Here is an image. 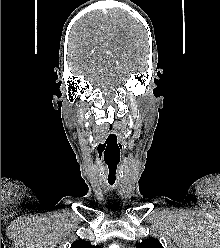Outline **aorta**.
<instances>
[{
	"instance_id": "762f6f07",
	"label": "aorta",
	"mask_w": 220,
	"mask_h": 248,
	"mask_svg": "<svg viewBox=\"0 0 220 248\" xmlns=\"http://www.w3.org/2000/svg\"><path fill=\"white\" fill-rule=\"evenodd\" d=\"M109 248H119L117 245H112Z\"/></svg>"
}]
</instances>
